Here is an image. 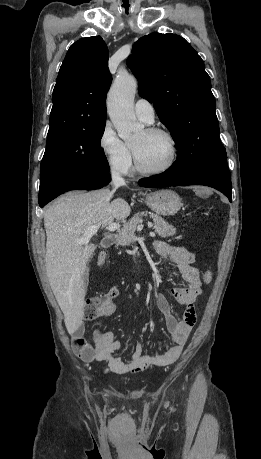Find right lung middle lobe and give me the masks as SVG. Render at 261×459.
Segmentation results:
<instances>
[{"label": "right lung middle lobe", "instance_id": "right-lung-middle-lobe-1", "mask_svg": "<svg viewBox=\"0 0 261 459\" xmlns=\"http://www.w3.org/2000/svg\"><path fill=\"white\" fill-rule=\"evenodd\" d=\"M105 123L47 135L46 150L40 168L39 197L46 195L58 182L71 176L110 171L100 147Z\"/></svg>", "mask_w": 261, "mask_h": 459}]
</instances>
